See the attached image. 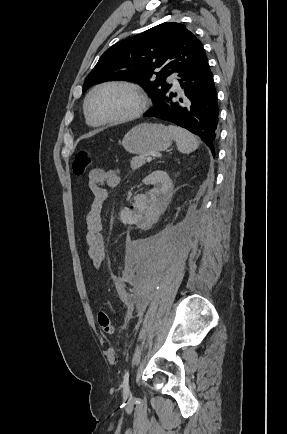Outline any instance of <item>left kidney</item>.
Segmentation results:
<instances>
[{"mask_svg": "<svg viewBox=\"0 0 287 434\" xmlns=\"http://www.w3.org/2000/svg\"><path fill=\"white\" fill-rule=\"evenodd\" d=\"M146 185H154L147 195H137L134 210L124 209L120 218L125 224L139 223L146 214V209L166 204L172 196L173 185L168 174L164 171H155L143 179Z\"/></svg>", "mask_w": 287, "mask_h": 434, "instance_id": "left-kidney-1", "label": "left kidney"}]
</instances>
